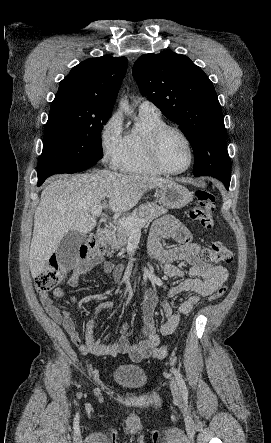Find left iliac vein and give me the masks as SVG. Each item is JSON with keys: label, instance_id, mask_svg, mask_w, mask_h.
<instances>
[{"label": "left iliac vein", "instance_id": "left-iliac-vein-1", "mask_svg": "<svg viewBox=\"0 0 271 443\" xmlns=\"http://www.w3.org/2000/svg\"><path fill=\"white\" fill-rule=\"evenodd\" d=\"M170 389H171L174 399L180 400L181 399V392L178 387V384L176 383V381L173 378L170 379Z\"/></svg>", "mask_w": 271, "mask_h": 443}]
</instances>
